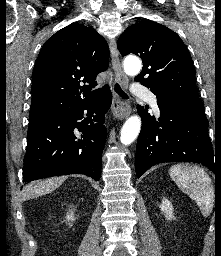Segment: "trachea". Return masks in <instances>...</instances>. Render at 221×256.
<instances>
[{"label": "trachea", "mask_w": 221, "mask_h": 256, "mask_svg": "<svg viewBox=\"0 0 221 256\" xmlns=\"http://www.w3.org/2000/svg\"><path fill=\"white\" fill-rule=\"evenodd\" d=\"M114 89L116 93L119 94L120 97H122L123 99H128L127 94L121 89V87L118 84L115 85Z\"/></svg>", "instance_id": "3493384b"}]
</instances>
